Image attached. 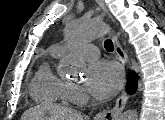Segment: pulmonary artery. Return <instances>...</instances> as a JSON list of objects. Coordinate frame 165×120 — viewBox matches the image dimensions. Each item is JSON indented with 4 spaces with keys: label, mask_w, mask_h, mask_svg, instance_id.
<instances>
[{
    "label": "pulmonary artery",
    "mask_w": 165,
    "mask_h": 120,
    "mask_svg": "<svg viewBox=\"0 0 165 120\" xmlns=\"http://www.w3.org/2000/svg\"><path fill=\"white\" fill-rule=\"evenodd\" d=\"M58 49L60 51H63L64 47L59 46ZM79 51H80L81 54H83L84 56H86L88 58H95V57H98V55H99L98 48L95 45H92V44L80 46Z\"/></svg>",
    "instance_id": "e3ab8cb5"
}]
</instances>
